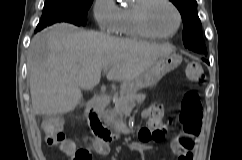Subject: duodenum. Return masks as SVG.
<instances>
[{"instance_id":"duodenum-1","label":"duodenum","mask_w":242,"mask_h":160,"mask_svg":"<svg viewBox=\"0 0 242 160\" xmlns=\"http://www.w3.org/2000/svg\"><path fill=\"white\" fill-rule=\"evenodd\" d=\"M107 93H101L94 97L86 110L87 120L96 142H110L117 138V134L109 129L101 118V112L108 100Z\"/></svg>"}]
</instances>
